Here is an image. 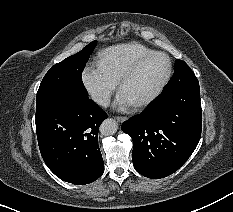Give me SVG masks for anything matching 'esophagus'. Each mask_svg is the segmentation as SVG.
<instances>
[{
	"instance_id": "1",
	"label": "esophagus",
	"mask_w": 233,
	"mask_h": 212,
	"mask_svg": "<svg viewBox=\"0 0 233 212\" xmlns=\"http://www.w3.org/2000/svg\"><path fill=\"white\" fill-rule=\"evenodd\" d=\"M116 119L118 120V122L122 123V122H124V121L127 120V117H125V116H117Z\"/></svg>"
}]
</instances>
